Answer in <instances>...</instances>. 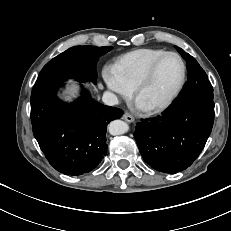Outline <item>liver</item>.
Listing matches in <instances>:
<instances>
[{
    "instance_id": "obj_1",
    "label": "liver",
    "mask_w": 231,
    "mask_h": 231,
    "mask_svg": "<svg viewBox=\"0 0 231 231\" xmlns=\"http://www.w3.org/2000/svg\"><path fill=\"white\" fill-rule=\"evenodd\" d=\"M72 84H74L73 82H71ZM68 94H70V95H72V96H74V94H76V91L74 90V87L70 90V91H68L67 92ZM70 98L69 97H67V100H69Z\"/></svg>"
}]
</instances>
